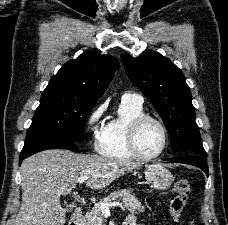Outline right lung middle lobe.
Listing matches in <instances>:
<instances>
[{
	"instance_id": "1",
	"label": "right lung middle lobe",
	"mask_w": 228,
	"mask_h": 225,
	"mask_svg": "<svg viewBox=\"0 0 228 225\" xmlns=\"http://www.w3.org/2000/svg\"><path fill=\"white\" fill-rule=\"evenodd\" d=\"M95 102L60 91L44 90L26 139L52 135L82 142L85 122Z\"/></svg>"
}]
</instances>
